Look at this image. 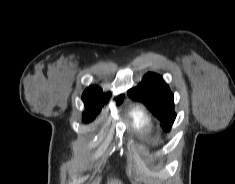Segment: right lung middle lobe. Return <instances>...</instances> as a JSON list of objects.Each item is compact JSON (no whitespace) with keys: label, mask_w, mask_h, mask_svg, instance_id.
<instances>
[{"label":"right lung middle lobe","mask_w":235,"mask_h":184,"mask_svg":"<svg viewBox=\"0 0 235 184\" xmlns=\"http://www.w3.org/2000/svg\"><path fill=\"white\" fill-rule=\"evenodd\" d=\"M101 108L102 107H86V110L83 113L84 121L85 122L92 121L94 117L100 112Z\"/></svg>","instance_id":"dd1d6c3e"}]
</instances>
